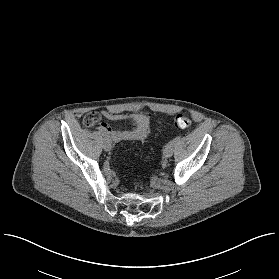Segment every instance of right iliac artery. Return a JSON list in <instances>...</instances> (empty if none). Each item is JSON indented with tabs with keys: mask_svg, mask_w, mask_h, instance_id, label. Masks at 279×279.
I'll use <instances>...</instances> for the list:
<instances>
[{
	"mask_svg": "<svg viewBox=\"0 0 279 279\" xmlns=\"http://www.w3.org/2000/svg\"><path fill=\"white\" fill-rule=\"evenodd\" d=\"M99 131H100V129H99ZM101 134H102V136H103L105 139L109 140L108 135H106V134L103 133L102 131H101Z\"/></svg>",
	"mask_w": 279,
	"mask_h": 279,
	"instance_id": "right-iliac-artery-1",
	"label": "right iliac artery"
}]
</instances>
